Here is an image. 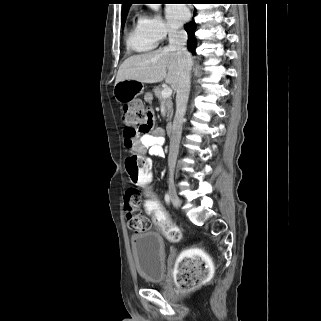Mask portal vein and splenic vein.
Returning <instances> with one entry per match:
<instances>
[{
  "label": "portal vein and splenic vein",
  "instance_id": "18ae733b",
  "mask_svg": "<svg viewBox=\"0 0 321 321\" xmlns=\"http://www.w3.org/2000/svg\"><path fill=\"white\" fill-rule=\"evenodd\" d=\"M172 94V89L170 87H165L163 90H162V97L163 98H167V97H170Z\"/></svg>",
  "mask_w": 321,
  "mask_h": 321
}]
</instances>
